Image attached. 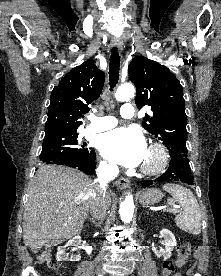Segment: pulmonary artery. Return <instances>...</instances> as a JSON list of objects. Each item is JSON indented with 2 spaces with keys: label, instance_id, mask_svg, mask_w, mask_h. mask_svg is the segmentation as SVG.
Masks as SVG:
<instances>
[{
  "label": "pulmonary artery",
  "instance_id": "pulmonary-artery-1",
  "mask_svg": "<svg viewBox=\"0 0 221 276\" xmlns=\"http://www.w3.org/2000/svg\"><path fill=\"white\" fill-rule=\"evenodd\" d=\"M120 114L123 118L130 119L135 114L134 107L129 103L123 104L120 109ZM116 124L117 120L112 116L93 117L91 124L86 129V132L97 133L106 131L116 126Z\"/></svg>",
  "mask_w": 221,
  "mask_h": 276
}]
</instances>
